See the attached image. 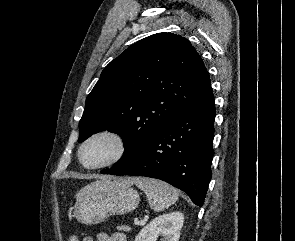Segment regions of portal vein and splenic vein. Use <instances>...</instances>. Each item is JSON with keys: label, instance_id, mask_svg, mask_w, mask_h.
Wrapping results in <instances>:
<instances>
[{"label": "portal vein and splenic vein", "instance_id": "portal-vein-and-splenic-vein-1", "mask_svg": "<svg viewBox=\"0 0 295 241\" xmlns=\"http://www.w3.org/2000/svg\"><path fill=\"white\" fill-rule=\"evenodd\" d=\"M134 223H135V225H140L141 224V221H139L138 219H135L134 220Z\"/></svg>", "mask_w": 295, "mask_h": 241}]
</instances>
